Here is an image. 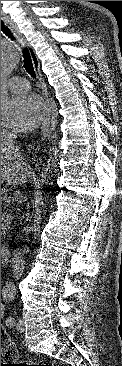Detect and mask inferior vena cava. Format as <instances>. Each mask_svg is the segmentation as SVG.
<instances>
[{
	"label": "inferior vena cava",
	"instance_id": "1",
	"mask_svg": "<svg viewBox=\"0 0 122 366\" xmlns=\"http://www.w3.org/2000/svg\"><path fill=\"white\" fill-rule=\"evenodd\" d=\"M16 134L15 133H10V134H6L3 139H2V142H5L6 145L9 147V148H13V149H17V147H15V139H16ZM22 253H21V250H16L15 253H14V258H13V263L16 264L18 263L19 261H22Z\"/></svg>",
	"mask_w": 122,
	"mask_h": 366
}]
</instances>
